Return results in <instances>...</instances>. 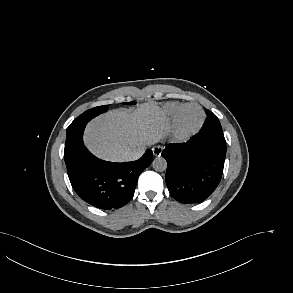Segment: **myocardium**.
Segmentation results:
<instances>
[{"label":"myocardium","mask_w":293,"mask_h":293,"mask_svg":"<svg viewBox=\"0 0 293 293\" xmlns=\"http://www.w3.org/2000/svg\"><path fill=\"white\" fill-rule=\"evenodd\" d=\"M189 107L198 108L201 112V119L196 126L186 129L182 125V113L186 108H189ZM205 119H206V114L200 105L196 103L181 104L178 107L173 118V125H172L173 139L178 142H184L189 140L191 137H193L195 134H197L200 131V129L204 125Z\"/></svg>","instance_id":"obj_1"}]
</instances>
